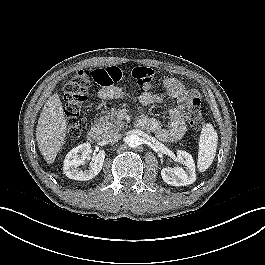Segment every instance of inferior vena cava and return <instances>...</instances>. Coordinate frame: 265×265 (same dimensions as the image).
<instances>
[{"label": "inferior vena cava", "mask_w": 265, "mask_h": 265, "mask_svg": "<svg viewBox=\"0 0 265 265\" xmlns=\"http://www.w3.org/2000/svg\"><path fill=\"white\" fill-rule=\"evenodd\" d=\"M121 138V135L118 133H111L105 137V141L110 144L118 142Z\"/></svg>", "instance_id": "obj_1"}]
</instances>
